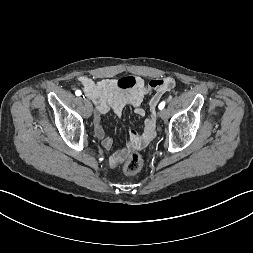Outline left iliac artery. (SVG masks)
<instances>
[{
	"label": "left iliac artery",
	"mask_w": 253,
	"mask_h": 253,
	"mask_svg": "<svg viewBox=\"0 0 253 253\" xmlns=\"http://www.w3.org/2000/svg\"><path fill=\"white\" fill-rule=\"evenodd\" d=\"M165 101H163V102H161L160 104H159V106H158V108L160 109V110H162L164 107H165Z\"/></svg>",
	"instance_id": "obj_1"
}]
</instances>
